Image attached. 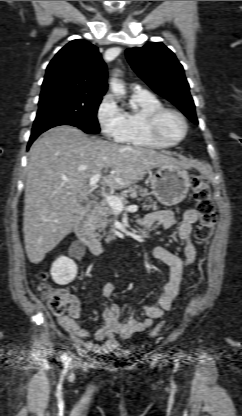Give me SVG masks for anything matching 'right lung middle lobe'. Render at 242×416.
<instances>
[{"label": "right lung middle lobe", "mask_w": 242, "mask_h": 416, "mask_svg": "<svg viewBox=\"0 0 242 416\" xmlns=\"http://www.w3.org/2000/svg\"><path fill=\"white\" fill-rule=\"evenodd\" d=\"M101 100L102 96L61 92L40 96L32 132L71 124L86 133H99L96 114Z\"/></svg>", "instance_id": "obj_1"}]
</instances>
